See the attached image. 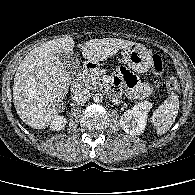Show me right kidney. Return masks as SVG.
<instances>
[{"label": "right kidney", "mask_w": 195, "mask_h": 195, "mask_svg": "<svg viewBox=\"0 0 195 195\" xmlns=\"http://www.w3.org/2000/svg\"><path fill=\"white\" fill-rule=\"evenodd\" d=\"M66 123H67V121H66V118L64 116H58L50 124V129L58 131V130L64 128Z\"/></svg>", "instance_id": "right-kidney-1"}]
</instances>
